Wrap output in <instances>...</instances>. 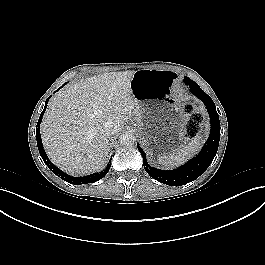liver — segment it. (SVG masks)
Returning a JSON list of instances; mask_svg holds the SVG:
<instances>
[{"mask_svg":"<svg viewBox=\"0 0 265 265\" xmlns=\"http://www.w3.org/2000/svg\"><path fill=\"white\" fill-rule=\"evenodd\" d=\"M134 73L89 77L67 86L49 101L41 136L56 166L79 176L104 168L109 141L101 133L103 123L112 121L118 133L132 116L138 115L130 86Z\"/></svg>","mask_w":265,"mask_h":265,"instance_id":"obj_1","label":"liver"}]
</instances>
